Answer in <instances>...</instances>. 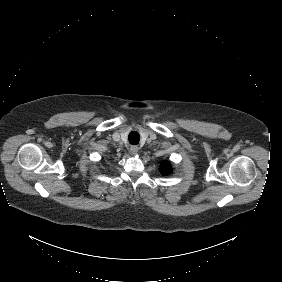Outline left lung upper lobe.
Returning a JSON list of instances; mask_svg holds the SVG:
<instances>
[{
	"label": "left lung upper lobe",
	"instance_id": "left-lung-upper-lobe-1",
	"mask_svg": "<svg viewBox=\"0 0 282 282\" xmlns=\"http://www.w3.org/2000/svg\"><path fill=\"white\" fill-rule=\"evenodd\" d=\"M171 172V164L167 160L162 161L160 165V173L164 176L169 175Z\"/></svg>",
	"mask_w": 282,
	"mask_h": 282
}]
</instances>
